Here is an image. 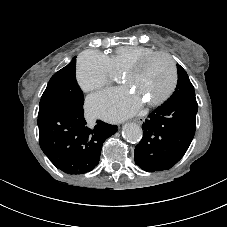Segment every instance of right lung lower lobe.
Here are the masks:
<instances>
[{"label":"right lung lower lobe","instance_id":"right-lung-lower-lobe-1","mask_svg":"<svg viewBox=\"0 0 227 227\" xmlns=\"http://www.w3.org/2000/svg\"><path fill=\"white\" fill-rule=\"evenodd\" d=\"M83 115V106L66 105L38 116L40 147L54 166L67 174L93 170L103 142L117 131L116 125L101 120L89 128Z\"/></svg>","mask_w":227,"mask_h":227}]
</instances>
